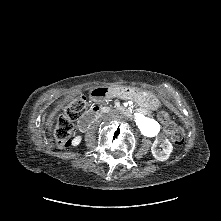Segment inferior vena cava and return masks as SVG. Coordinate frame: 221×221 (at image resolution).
I'll return each instance as SVG.
<instances>
[{"label":"inferior vena cava","mask_w":221,"mask_h":221,"mask_svg":"<svg viewBox=\"0 0 221 221\" xmlns=\"http://www.w3.org/2000/svg\"><path fill=\"white\" fill-rule=\"evenodd\" d=\"M109 116H110V113H107V114L105 115V118L108 120Z\"/></svg>","instance_id":"602c4592"}]
</instances>
